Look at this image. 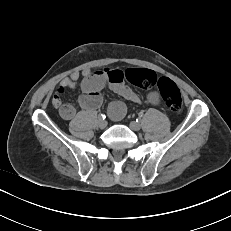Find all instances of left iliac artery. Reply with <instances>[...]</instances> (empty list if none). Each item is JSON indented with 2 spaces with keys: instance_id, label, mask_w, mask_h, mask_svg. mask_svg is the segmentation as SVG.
<instances>
[{
  "instance_id": "44dca946",
  "label": "left iliac artery",
  "mask_w": 231,
  "mask_h": 231,
  "mask_svg": "<svg viewBox=\"0 0 231 231\" xmlns=\"http://www.w3.org/2000/svg\"><path fill=\"white\" fill-rule=\"evenodd\" d=\"M144 114L142 112L139 113V117L142 118Z\"/></svg>"
}]
</instances>
